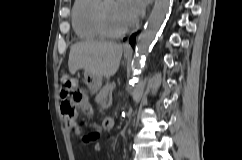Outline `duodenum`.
Returning a JSON list of instances; mask_svg holds the SVG:
<instances>
[{
  "label": "duodenum",
  "instance_id": "410a0bca",
  "mask_svg": "<svg viewBox=\"0 0 242 160\" xmlns=\"http://www.w3.org/2000/svg\"><path fill=\"white\" fill-rule=\"evenodd\" d=\"M114 125L115 121L112 118H106L103 122V128L108 131L113 129Z\"/></svg>",
  "mask_w": 242,
  "mask_h": 160
}]
</instances>
